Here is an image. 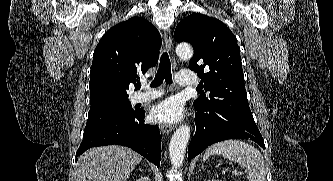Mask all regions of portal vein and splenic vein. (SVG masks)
Instances as JSON below:
<instances>
[{"label": "portal vein and splenic vein", "instance_id": "obj_1", "mask_svg": "<svg viewBox=\"0 0 333 181\" xmlns=\"http://www.w3.org/2000/svg\"><path fill=\"white\" fill-rule=\"evenodd\" d=\"M233 174H234V175H237V174H238V172L235 170V171L233 172Z\"/></svg>", "mask_w": 333, "mask_h": 181}]
</instances>
